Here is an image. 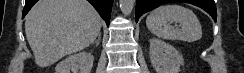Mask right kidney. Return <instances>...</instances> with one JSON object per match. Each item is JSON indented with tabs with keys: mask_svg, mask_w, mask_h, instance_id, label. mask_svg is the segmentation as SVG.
<instances>
[{
	"mask_svg": "<svg viewBox=\"0 0 244 73\" xmlns=\"http://www.w3.org/2000/svg\"><path fill=\"white\" fill-rule=\"evenodd\" d=\"M94 57L89 52L73 54L55 67V73H90Z\"/></svg>",
	"mask_w": 244,
	"mask_h": 73,
	"instance_id": "ca27d5eb",
	"label": "right kidney"
}]
</instances>
